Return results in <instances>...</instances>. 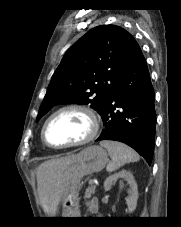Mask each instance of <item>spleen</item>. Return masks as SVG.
Masks as SVG:
<instances>
[{
    "instance_id": "obj_1",
    "label": "spleen",
    "mask_w": 181,
    "mask_h": 227,
    "mask_svg": "<svg viewBox=\"0 0 181 227\" xmlns=\"http://www.w3.org/2000/svg\"><path fill=\"white\" fill-rule=\"evenodd\" d=\"M100 145L107 149L111 157V162L106 167L108 172H113L126 163L139 160V155L132 148L121 142L105 140L100 142Z\"/></svg>"
}]
</instances>
